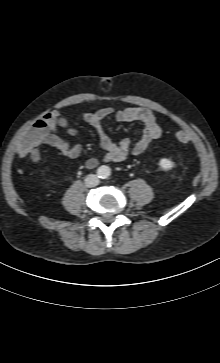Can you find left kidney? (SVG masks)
<instances>
[{
  "label": "left kidney",
  "mask_w": 220,
  "mask_h": 363,
  "mask_svg": "<svg viewBox=\"0 0 220 363\" xmlns=\"http://www.w3.org/2000/svg\"><path fill=\"white\" fill-rule=\"evenodd\" d=\"M159 165L162 169L168 170L172 167V162L168 159H161Z\"/></svg>",
  "instance_id": "1"
}]
</instances>
